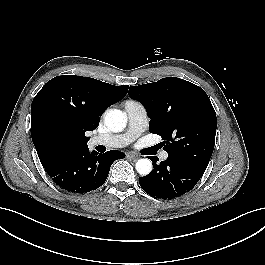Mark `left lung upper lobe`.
I'll return each instance as SVG.
<instances>
[{
    "label": "left lung upper lobe",
    "instance_id": "left-lung-upper-lobe-1",
    "mask_svg": "<svg viewBox=\"0 0 265 265\" xmlns=\"http://www.w3.org/2000/svg\"><path fill=\"white\" fill-rule=\"evenodd\" d=\"M129 95L145 107L151 119L149 131L162 137L168 158L206 170L214 150L217 118L202 88L167 77L130 86Z\"/></svg>",
    "mask_w": 265,
    "mask_h": 265
}]
</instances>
